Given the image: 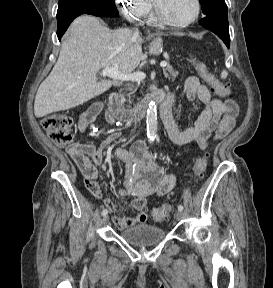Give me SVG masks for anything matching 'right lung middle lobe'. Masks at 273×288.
<instances>
[{"label":"right lung middle lobe","instance_id":"dd1d6c3e","mask_svg":"<svg viewBox=\"0 0 273 288\" xmlns=\"http://www.w3.org/2000/svg\"><path fill=\"white\" fill-rule=\"evenodd\" d=\"M78 13L110 17L119 15L114 0H59L57 20Z\"/></svg>","mask_w":273,"mask_h":288}]
</instances>
